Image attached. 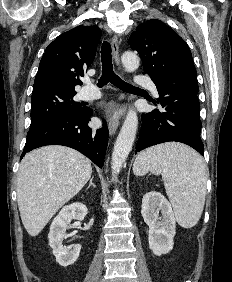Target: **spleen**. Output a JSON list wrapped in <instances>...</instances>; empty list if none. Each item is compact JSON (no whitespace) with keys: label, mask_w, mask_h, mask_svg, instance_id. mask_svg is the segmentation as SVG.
Wrapping results in <instances>:
<instances>
[{"label":"spleen","mask_w":232,"mask_h":282,"mask_svg":"<svg viewBox=\"0 0 232 282\" xmlns=\"http://www.w3.org/2000/svg\"><path fill=\"white\" fill-rule=\"evenodd\" d=\"M162 174L177 222L191 228L199 221L206 195L207 170L202 157L191 148L166 143L138 154L133 172Z\"/></svg>","instance_id":"spleen-1"}]
</instances>
